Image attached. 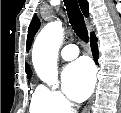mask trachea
Wrapping results in <instances>:
<instances>
[{"label": "trachea", "mask_w": 121, "mask_h": 113, "mask_svg": "<svg viewBox=\"0 0 121 113\" xmlns=\"http://www.w3.org/2000/svg\"><path fill=\"white\" fill-rule=\"evenodd\" d=\"M64 4L74 32L81 40L88 42V30L77 0H64Z\"/></svg>", "instance_id": "trachea-1"}]
</instances>
